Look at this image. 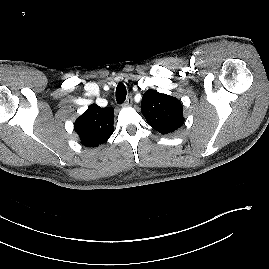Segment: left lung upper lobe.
Wrapping results in <instances>:
<instances>
[{"label": "left lung upper lobe", "mask_w": 269, "mask_h": 269, "mask_svg": "<svg viewBox=\"0 0 269 269\" xmlns=\"http://www.w3.org/2000/svg\"><path fill=\"white\" fill-rule=\"evenodd\" d=\"M141 112L148 124L161 134L172 133L184 123L181 102L155 90H148L143 95Z\"/></svg>", "instance_id": "5c2ea615"}]
</instances>
